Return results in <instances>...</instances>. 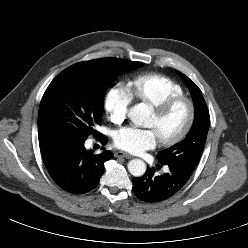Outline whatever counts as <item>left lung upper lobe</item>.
Returning <instances> with one entry per match:
<instances>
[{"label":"left lung upper lobe","instance_id":"1","mask_svg":"<svg viewBox=\"0 0 248 248\" xmlns=\"http://www.w3.org/2000/svg\"><path fill=\"white\" fill-rule=\"evenodd\" d=\"M177 72L192 93L195 118L187 137L180 143L159 152L157 159L163 165H174L192 173L204 150L210 126V116L201 90L186 75Z\"/></svg>","mask_w":248,"mask_h":248}]
</instances>
